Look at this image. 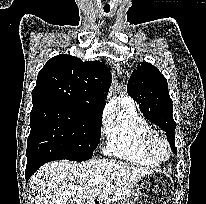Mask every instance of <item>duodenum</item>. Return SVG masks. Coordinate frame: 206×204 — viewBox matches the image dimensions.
<instances>
[{
  "mask_svg": "<svg viewBox=\"0 0 206 204\" xmlns=\"http://www.w3.org/2000/svg\"><path fill=\"white\" fill-rule=\"evenodd\" d=\"M92 204H100L98 200H94Z\"/></svg>",
  "mask_w": 206,
  "mask_h": 204,
  "instance_id": "1",
  "label": "duodenum"
}]
</instances>
